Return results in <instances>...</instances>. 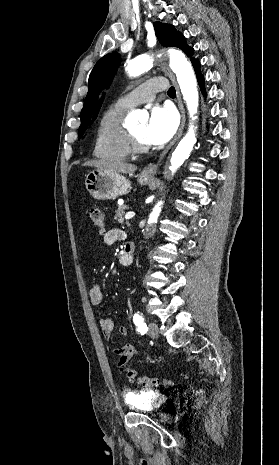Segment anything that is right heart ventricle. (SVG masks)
<instances>
[{
	"label": "right heart ventricle",
	"instance_id": "obj_1",
	"mask_svg": "<svg viewBox=\"0 0 279 465\" xmlns=\"http://www.w3.org/2000/svg\"><path fill=\"white\" fill-rule=\"evenodd\" d=\"M128 108L115 103L103 114L96 134L93 153L101 160L119 161L130 155L127 129L123 120Z\"/></svg>",
	"mask_w": 279,
	"mask_h": 465
}]
</instances>
